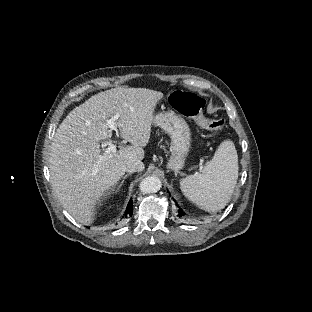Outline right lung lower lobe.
Instances as JSON below:
<instances>
[{"label":"right lung lower lobe","mask_w":312,"mask_h":312,"mask_svg":"<svg viewBox=\"0 0 312 312\" xmlns=\"http://www.w3.org/2000/svg\"><path fill=\"white\" fill-rule=\"evenodd\" d=\"M133 213V201H130L125 212V216L132 215Z\"/></svg>","instance_id":"right-lung-lower-lobe-1"}]
</instances>
